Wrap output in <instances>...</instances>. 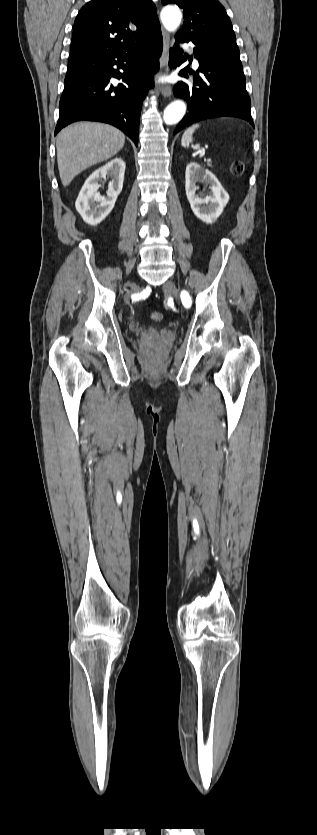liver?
<instances>
[{
  "mask_svg": "<svg viewBox=\"0 0 317 835\" xmlns=\"http://www.w3.org/2000/svg\"><path fill=\"white\" fill-rule=\"evenodd\" d=\"M124 143L125 135L108 124L80 122L64 128L56 140L63 186H68L86 168L116 155Z\"/></svg>",
  "mask_w": 317,
  "mask_h": 835,
  "instance_id": "liver-1",
  "label": "liver"
}]
</instances>
